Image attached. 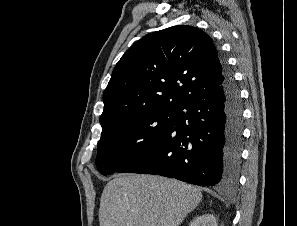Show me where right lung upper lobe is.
Listing matches in <instances>:
<instances>
[{
	"mask_svg": "<svg viewBox=\"0 0 297 226\" xmlns=\"http://www.w3.org/2000/svg\"><path fill=\"white\" fill-rule=\"evenodd\" d=\"M222 59L212 39L187 25L149 34L116 64L103 94L102 129L151 111H177L190 97L221 85Z\"/></svg>",
	"mask_w": 297,
	"mask_h": 226,
	"instance_id": "obj_1",
	"label": "right lung upper lobe"
}]
</instances>
